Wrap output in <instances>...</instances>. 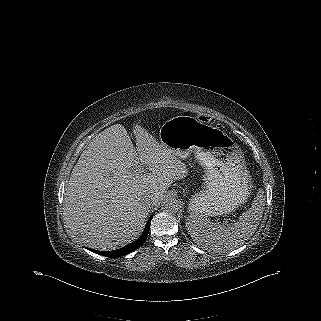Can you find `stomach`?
I'll return each mask as SVG.
<instances>
[{
	"instance_id": "stomach-1",
	"label": "stomach",
	"mask_w": 321,
	"mask_h": 321,
	"mask_svg": "<svg viewBox=\"0 0 321 321\" xmlns=\"http://www.w3.org/2000/svg\"><path fill=\"white\" fill-rule=\"evenodd\" d=\"M159 139L177 158L194 153L205 169L204 190L190 200L192 214H226L246 199L250 183L243 155L227 134L185 115L167 120L159 130Z\"/></svg>"
}]
</instances>
